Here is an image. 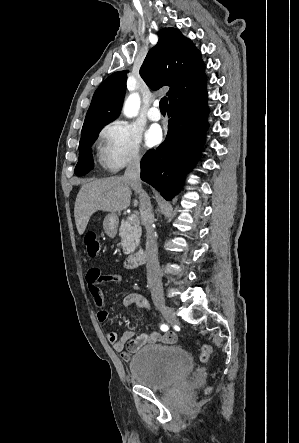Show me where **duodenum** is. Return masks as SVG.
Wrapping results in <instances>:
<instances>
[{
    "mask_svg": "<svg viewBox=\"0 0 299 443\" xmlns=\"http://www.w3.org/2000/svg\"><path fill=\"white\" fill-rule=\"evenodd\" d=\"M145 261V253L143 249L128 255L123 261V267L126 269L136 268Z\"/></svg>",
    "mask_w": 299,
    "mask_h": 443,
    "instance_id": "1",
    "label": "duodenum"
}]
</instances>
